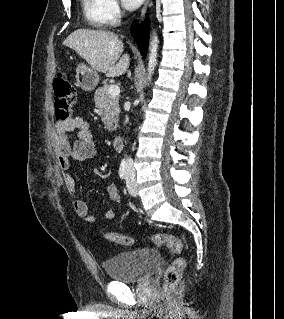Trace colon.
Returning <instances> with one entry per match:
<instances>
[{
  "mask_svg": "<svg viewBox=\"0 0 284 319\" xmlns=\"http://www.w3.org/2000/svg\"><path fill=\"white\" fill-rule=\"evenodd\" d=\"M54 89V108L56 119L60 122L69 120L73 114L76 101V92L68 79L59 74L53 81ZM104 239L124 246H132L134 239L130 236L108 232L103 235ZM151 242L155 246L168 247L177 257L168 266L164 275V292L170 294L177 286L181 272L185 267L186 261L182 256L184 248L180 240L166 233H157L150 236Z\"/></svg>",
  "mask_w": 284,
  "mask_h": 319,
  "instance_id": "5ec220e1",
  "label": "colon"
}]
</instances>
